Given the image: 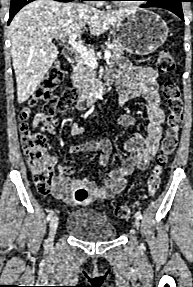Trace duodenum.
Listing matches in <instances>:
<instances>
[{
  "label": "duodenum",
  "mask_w": 193,
  "mask_h": 287,
  "mask_svg": "<svg viewBox=\"0 0 193 287\" xmlns=\"http://www.w3.org/2000/svg\"><path fill=\"white\" fill-rule=\"evenodd\" d=\"M64 56L69 63H72L76 60L77 53L74 48L66 47L64 50ZM105 86L106 83L100 88H95L91 91L83 92L76 104V109L83 110L92 105L96 100H98L101 97Z\"/></svg>",
  "instance_id": "obj_1"
}]
</instances>
